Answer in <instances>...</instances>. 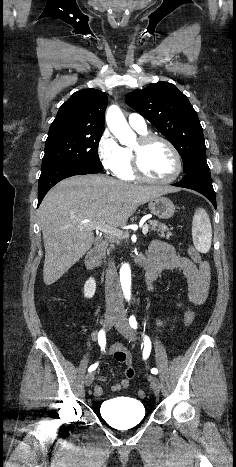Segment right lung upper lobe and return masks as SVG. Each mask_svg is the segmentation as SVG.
Listing matches in <instances>:
<instances>
[{
    "label": "right lung upper lobe",
    "mask_w": 236,
    "mask_h": 467,
    "mask_svg": "<svg viewBox=\"0 0 236 467\" xmlns=\"http://www.w3.org/2000/svg\"><path fill=\"white\" fill-rule=\"evenodd\" d=\"M107 96L97 89L75 92L59 109L52 127L104 130Z\"/></svg>",
    "instance_id": "obj_1"
}]
</instances>
